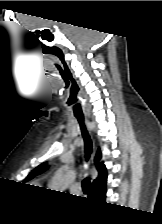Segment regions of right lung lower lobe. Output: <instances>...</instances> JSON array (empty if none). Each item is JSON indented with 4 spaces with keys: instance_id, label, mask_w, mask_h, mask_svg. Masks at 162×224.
I'll return each instance as SVG.
<instances>
[{
    "instance_id": "1",
    "label": "right lung lower lobe",
    "mask_w": 162,
    "mask_h": 224,
    "mask_svg": "<svg viewBox=\"0 0 162 224\" xmlns=\"http://www.w3.org/2000/svg\"><path fill=\"white\" fill-rule=\"evenodd\" d=\"M105 196H106V190L104 192L100 193L98 196H96V198L101 201H104Z\"/></svg>"
}]
</instances>
